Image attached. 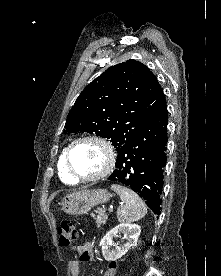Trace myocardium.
<instances>
[{"label": "myocardium", "mask_w": 221, "mask_h": 276, "mask_svg": "<svg viewBox=\"0 0 221 276\" xmlns=\"http://www.w3.org/2000/svg\"><path fill=\"white\" fill-rule=\"evenodd\" d=\"M81 142H95L98 145H100L105 151V154H106L105 165L103 169L95 175L79 176L72 169L71 162H70L71 150L75 145ZM64 160H65L66 170L74 180L80 181V182H93L106 177L112 171L116 162V153L112 144L107 139L98 135H86V136H81L79 138H76L68 145L64 153Z\"/></svg>", "instance_id": "obj_1"}]
</instances>
